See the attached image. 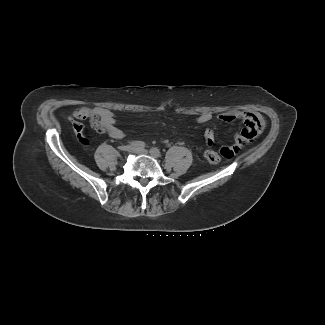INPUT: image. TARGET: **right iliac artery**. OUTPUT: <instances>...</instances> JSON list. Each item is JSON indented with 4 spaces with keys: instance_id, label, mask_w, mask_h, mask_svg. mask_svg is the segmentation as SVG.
I'll use <instances>...</instances> for the list:
<instances>
[{
    "instance_id": "82829eb1",
    "label": "right iliac artery",
    "mask_w": 325,
    "mask_h": 325,
    "mask_svg": "<svg viewBox=\"0 0 325 325\" xmlns=\"http://www.w3.org/2000/svg\"><path fill=\"white\" fill-rule=\"evenodd\" d=\"M129 143L136 148H144L145 147V143L142 141H132Z\"/></svg>"
}]
</instances>
